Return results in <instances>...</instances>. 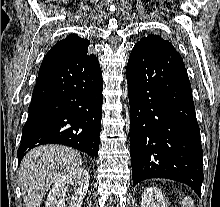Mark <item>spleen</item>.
I'll return each mask as SVG.
<instances>
[{
	"label": "spleen",
	"instance_id": "3e777b00",
	"mask_svg": "<svg viewBox=\"0 0 220 207\" xmlns=\"http://www.w3.org/2000/svg\"><path fill=\"white\" fill-rule=\"evenodd\" d=\"M182 207H195L194 201L190 197H185L182 201Z\"/></svg>",
	"mask_w": 220,
	"mask_h": 207
}]
</instances>
